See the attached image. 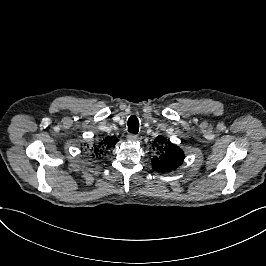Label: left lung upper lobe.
Masks as SVG:
<instances>
[{
    "label": "left lung upper lobe",
    "mask_w": 266,
    "mask_h": 266,
    "mask_svg": "<svg viewBox=\"0 0 266 266\" xmlns=\"http://www.w3.org/2000/svg\"><path fill=\"white\" fill-rule=\"evenodd\" d=\"M156 153L152 167L158 172H169L182 165L185 155L181 148L166 140L163 136L155 139Z\"/></svg>",
    "instance_id": "5c2ea615"
}]
</instances>
